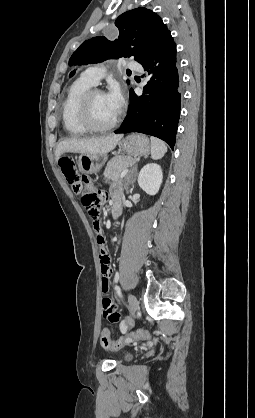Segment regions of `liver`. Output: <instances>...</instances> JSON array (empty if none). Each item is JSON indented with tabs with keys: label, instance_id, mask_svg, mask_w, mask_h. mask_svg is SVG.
Instances as JSON below:
<instances>
[{
	"label": "liver",
	"instance_id": "1",
	"mask_svg": "<svg viewBox=\"0 0 255 418\" xmlns=\"http://www.w3.org/2000/svg\"><path fill=\"white\" fill-rule=\"evenodd\" d=\"M123 137L122 134H111L105 137L89 139H65L57 145L56 160H60L64 153L107 154L112 151Z\"/></svg>",
	"mask_w": 255,
	"mask_h": 418
}]
</instances>
